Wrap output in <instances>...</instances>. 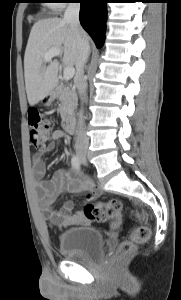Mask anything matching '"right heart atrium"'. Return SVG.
Masks as SVG:
<instances>
[{"instance_id":"d8ad5b80","label":"right heart atrium","mask_w":181,"mask_h":300,"mask_svg":"<svg viewBox=\"0 0 181 300\" xmlns=\"http://www.w3.org/2000/svg\"><path fill=\"white\" fill-rule=\"evenodd\" d=\"M53 8L56 10H60L64 7V0H53Z\"/></svg>"}]
</instances>
